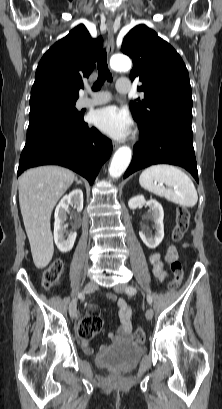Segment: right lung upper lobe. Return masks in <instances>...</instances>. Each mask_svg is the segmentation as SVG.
Instances as JSON below:
<instances>
[{"mask_svg": "<svg viewBox=\"0 0 222 409\" xmlns=\"http://www.w3.org/2000/svg\"><path fill=\"white\" fill-rule=\"evenodd\" d=\"M102 45V37L93 39L83 24L56 42L38 64L30 108L52 102H76L83 88L82 77H88L94 69Z\"/></svg>", "mask_w": 222, "mask_h": 409, "instance_id": "cb5924a9", "label": "right lung upper lobe"}]
</instances>
